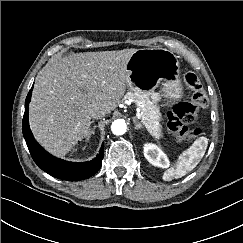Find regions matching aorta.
Instances as JSON below:
<instances>
[{"mask_svg": "<svg viewBox=\"0 0 243 243\" xmlns=\"http://www.w3.org/2000/svg\"><path fill=\"white\" fill-rule=\"evenodd\" d=\"M126 123L122 119L115 120L111 125L112 133L115 135H123L126 132Z\"/></svg>", "mask_w": 243, "mask_h": 243, "instance_id": "aorta-1", "label": "aorta"}]
</instances>
